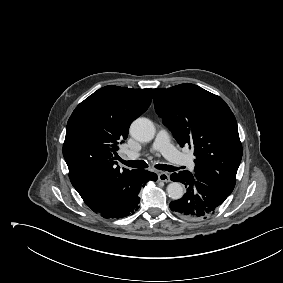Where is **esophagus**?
Wrapping results in <instances>:
<instances>
[{
	"mask_svg": "<svg viewBox=\"0 0 283 283\" xmlns=\"http://www.w3.org/2000/svg\"><path fill=\"white\" fill-rule=\"evenodd\" d=\"M158 179L159 181H162V182H170V176L166 173V172H160L158 174Z\"/></svg>",
	"mask_w": 283,
	"mask_h": 283,
	"instance_id": "esophagus-1",
	"label": "esophagus"
}]
</instances>
